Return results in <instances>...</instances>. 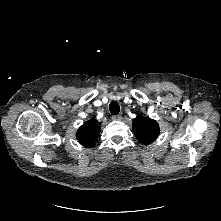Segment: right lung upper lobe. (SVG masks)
Returning a JSON list of instances; mask_svg holds the SVG:
<instances>
[{
	"label": "right lung upper lobe",
	"instance_id": "cb5924a9",
	"mask_svg": "<svg viewBox=\"0 0 221 221\" xmlns=\"http://www.w3.org/2000/svg\"><path fill=\"white\" fill-rule=\"evenodd\" d=\"M100 123L94 118L84 123L77 131L76 137L85 147H93L100 134Z\"/></svg>",
	"mask_w": 221,
	"mask_h": 221
}]
</instances>
